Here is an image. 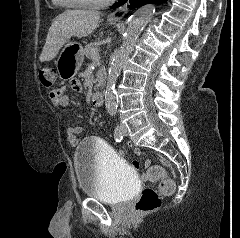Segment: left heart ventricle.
<instances>
[{
  "label": "left heart ventricle",
  "mask_w": 240,
  "mask_h": 238,
  "mask_svg": "<svg viewBox=\"0 0 240 238\" xmlns=\"http://www.w3.org/2000/svg\"><path fill=\"white\" fill-rule=\"evenodd\" d=\"M81 1L98 2V1H103V0H81Z\"/></svg>",
  "instance_id": "1"
}]
</instances>
